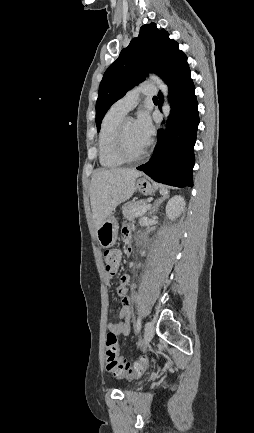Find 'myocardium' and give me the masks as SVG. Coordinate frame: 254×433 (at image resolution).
Returning <instances> with one entry per match:
<instances>
[{
  "label": "myocardium",
  "mask_w": 254,
  "mask_h": 433,
  "mask_svg": "<svg viewBox=\"0 0 254 433\" xmlns=\"http://www.w3.org/2000/svg\"><path fill=\"white\" fill-rule=\"evenodd\" d=\"M129 119L130 118L125 117L119 123L117 130H116V134H115L114 147H115V151H116L117 155L123 161L135 162V161H139L145 157V155L147 154V152L150 148L151 142L148 141L145 148L142 149L138 154H131L128 152V150L126 149V146H125L124 129H125V124Z\"/></svg>",
  "instance_id": "f54148a6"
}]
</instances>
